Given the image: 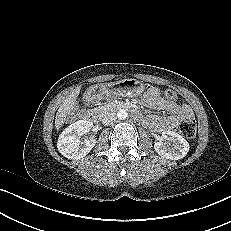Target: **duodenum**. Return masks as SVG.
<instances>
[{
	"label": "duodenum",
	"instance_id": "obj_1",
	"mask_svg": "<svg viewBox=\"0 0 231 231\" xmlns=\"http://www.w3.org/2000/svg\"><path fill=\"white\" fill-rule=\"evenodd\" d=\"M116 108L117 109H122V110H131L132 111V114H133V117L137 120H142L143 119V115L135 110L133 108V106L129 103H118L116 105ZM84 119L85 120H89V121H96L97 120V116H96V112L92 109H89L86 111L85 115H84Z\"/></svg>",
	"mask_w": 231,
	"mask_h": 231
}]
</instances>
